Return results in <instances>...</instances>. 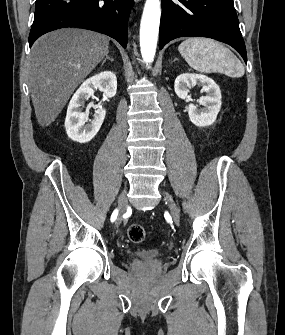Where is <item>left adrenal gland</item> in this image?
<instances>
[{
	"label": "left adrenal gland",
	"mask_w": 285,
	"mask_h": 335,
	"mask_svg": "<svg viewBox=\"0 0 285 335\" xmlns=\"http://www.w3.org/2000/svg\"><path fill=\"white\" fill-rule=\"evenodd\" d=\"M176 60H178V58H175L174 62H176Z\"/></svg>",
	"instance_id": "a2214340"
}]
</instances>
